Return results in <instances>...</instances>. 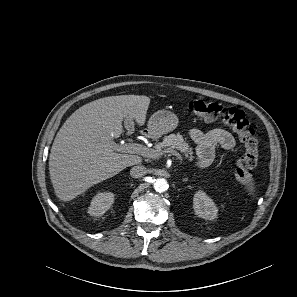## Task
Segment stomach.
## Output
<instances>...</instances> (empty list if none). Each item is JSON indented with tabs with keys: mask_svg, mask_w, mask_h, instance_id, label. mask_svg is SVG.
<instances>
[{
	"mask_svg": "<svg viewBox=\"0 0 297 297\" xmlns=\"http://www.w3.org/2000/svg\"><path fill=\"white\" fill-rule=\"evenodd\" d=\"M178 126L177 116L168 110H159L154 113L148 122V134L158 138L163 134L173 131Z\"/></svg>",
	"mask_w": 297,
	"mask_h": 297,
	"instance_id": "0dacf381",
	"label": "stomach"
}]
</instances>
